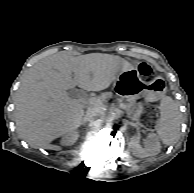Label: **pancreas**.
Masks as SVG:
<instances>
[{
    "label": "pancreas",
    "instance_id": "pancreas-1",
    "mask_svg": "<svg viewBox=\"0 0 194 193\" xmlns=\"http://www.w3.org/2000/svg\"><path fill=\"white\" fill-rule=\"evenodd\" d=\"M118 107H120L126 113H133L139 109L138 104H133L132 101L127 102L125 99H123V103Z\"/></svg>",
    "mask_w": 194,
    "mask_h": 193
}]
</instances>
